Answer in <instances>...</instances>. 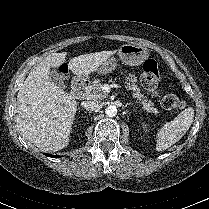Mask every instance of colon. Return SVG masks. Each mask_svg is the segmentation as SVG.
<instances>
[{
    "instance_id": "5ec220e1",
    "label": "colon",
    "mask_w": 209,
    "mask_h": 209,
    "mask_svg": "<svg viewBox=\"0 0 209 209\" xmlns=\"http://www.w3.org/2000/svg\"><path fill=\"white\" fill-rule=\"evenodd\" d=\"M160 80L161 74L157 61L154 59L146 60L143 64V74L141 76L143 87L153 96H157L159 94ZM161 104L165 109L174 111L182 110L185 107V102L173 94L164 95Z\"/></svg>"
}]
</instances>
